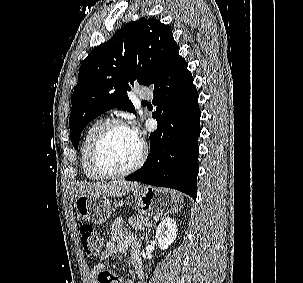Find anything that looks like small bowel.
Masks as SVG:
<instances>
[{
    "mask_svg": "<svg viewBox=\"0 0 303 283\" xmlns=\"http://www.w3.org/2000/svg\"><path fill=\"white\" fill-rule=\"evenodd\" d=\"M128 247L134 248L131 257L130 264L134 269L138 278L142 277L143 269L142 262L138 251V241L135 236L126 230L123 226L122 219H116L111 225V240L107 243L106 248L100 253V260L105 261L110 257L124 253ZM104 269L102 263H97L92 267V274L98 275ZM119 283H121L118 277ZM125 283H134L131 280L125 281Z\"/></svg>",
    "mask_w": 303,
    "mask_h": 283,
    "instance_id": "obj_1",
    "label": "small bowel"
}]
</instances>
